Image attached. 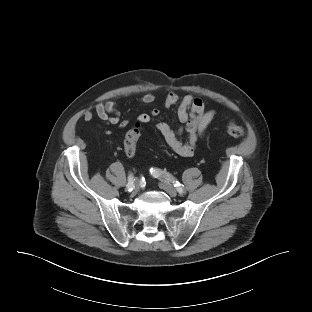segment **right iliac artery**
<instances>
[{"label":"right iliac artery","instance_id":"82829eb1","mask_svg":"<svg viewBox=\"0 0 312 312\" xmlns=\"http://www.w3.org/2000/svg\"><path fill=\"white\" fill-rule=\"evenodd\" d=\"M134 177H133V175H130L129 177H128V184H127V186H126V190L127 191H129V192H131L133 189H134Z\"/></svg>","mask_w":312,"mask_h":312}]
</instances>
